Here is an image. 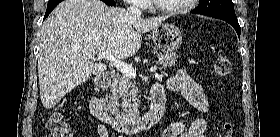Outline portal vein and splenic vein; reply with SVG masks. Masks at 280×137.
Masks as SVG:
<instances>
[{
  "label": "portal vein and splenic vein",
  "mask_w": 280,
  "mask_h": 137,
  "mask_svg": "<svg viewBox=\"0 0 280 137\" xmlns=\"http://www.w3.org/2000/svg\"><path fill=\"white\" fill-rule=\"evenodd\" d=\"M98 58H104L108 61L112 62L113 65L125 76L130 78L136 77V71L133 69L132 66L128 65L127 63L115 58L111 53L109 52H99ZM157 66H153L150 68V72H156Z\"/></svg>",
  "instance_id": "portal-vein-and-splenic-vein-1"
}]
</instances>
